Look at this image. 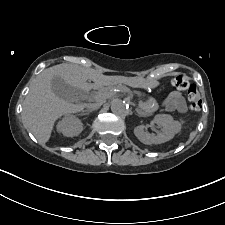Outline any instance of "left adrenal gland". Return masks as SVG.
Instances as JSON below:
<instances>
[{
	"label": "left adrenal gland",
	"instance_id": "obj_1",
	"mask_svg": "<svg viewBox=\"0 0 225 225\" xmlns=\"http://www.w3.org/2000/svg\"><path fill=\"white\" fill-rule=\"evenodd\" d=\"M139 116H145L144 113L140 109H136Z\"/></svg>",
	"mask_w": 225,
	"mask_h": 225
}]
</instances>
